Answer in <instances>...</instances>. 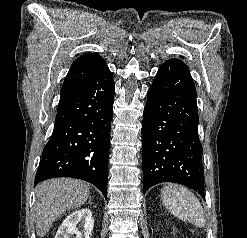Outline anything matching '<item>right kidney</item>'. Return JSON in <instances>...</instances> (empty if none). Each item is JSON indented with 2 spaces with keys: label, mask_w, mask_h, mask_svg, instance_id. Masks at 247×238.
I'll return each instance as SVG.
<instances>
[{
  "label": "right kidney",
  "mask_w": 247,
  "mask_h": 238,
  "mask_svg": "<svg viewBox=\"0 0 247 238\" xmlns=\"http://www.w3.org/2000/svg\"><path fill=\"white\" fill-rule=\"evenodd\" d=\"M80 223L82 230L77 228ZM94 227L92 212L88 208L72 212L59 227L55 238H90Z\"/></svg>",
  "instance_id": "ca27d5eb"
}]
</instances>
